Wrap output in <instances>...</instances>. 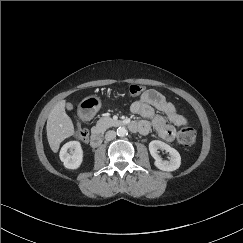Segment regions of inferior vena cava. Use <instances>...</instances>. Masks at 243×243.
<instances>
[{
    "mask_svg": "<svg viewBox=\"0 0 243 243\" xmlns=\"http://www.w3.org/2000/svg\"><path fill=\"white\" fill-rule=\"evenodd\" d=\"M115 138H116V132L113 131V130H109V131L105 134V139H106L107 141H111V140H113V139H115Z\"/></svg>",
    "mask_w": 243,
    "mask_h": 243,
    "instance_id": "inferior-vena-cava-1",
    "label": "inferior vena cava"
}]
</instances>
